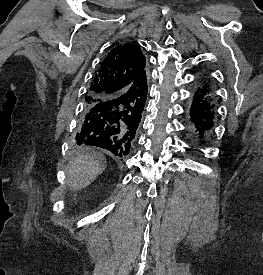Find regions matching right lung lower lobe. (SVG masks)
<instances>
[{"mask_svg": "<svg viewBox=\"0 0 263 275\" xmlns=\"http://www.w3.org/2000/svg\"><path fill=\"white\" fill-rule=\"evenodd\" d=\"M141 78L147 86L145 71ZM140 120L141 113L130 109L125 93L100 98L85 108L75 143L82 148H103L123 157L129 153Z\"/></svg>", "mask_w": 263, "mask_h": 275, "instance_id": "obj_1", "label": "right lung lower lobe"}]
</instances>
